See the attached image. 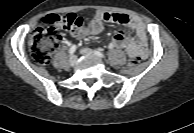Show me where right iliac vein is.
<instances>
[{"instance_id":"obj_1","label":"right iliac vein","mask_w":194,"mask_h":133,"mask_svg":"<svg viewBox=\"0 0 194 133\" xmlns=\"http://www.w3.org/2000/svg\"><path fill=\"white\" fill-rule=\"evenodd\" d=\"M77 62V56L76 55H72L70 58H69V65L70 66H74Z\"/></svg>"}]
</instances>
